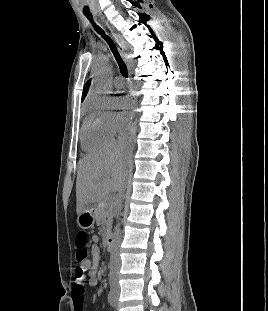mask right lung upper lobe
I'll return each mask as SVG.
<instances>
[{
  "label": "right lung upper lobe",
  "instance_id": "obj_1",
  "mask_svg": "<svg viewBox=\"0 0 268 311\" xmlns=\"http://www.w3.org/2000/svg\"><path fill=\"white\" fill-rule=\"evenodd\" d=\"M89 86H90V80L84 86L83 94H82V101L84 100L85 96L87 95Z\"/></svg>",
  "mask_w": 268,
  "mask_h": 311
}]
</instances>
